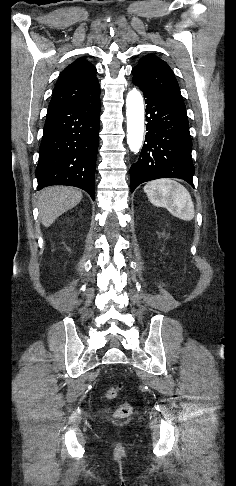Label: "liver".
Masks as SVG:
<instances>
[{
	"instance_id": "6515ba94",
	"label": "liver",
	"mask_w": 236,
	"mask_h": 486,
	"mask_svg": "<svg viewBox=\"0 0 236 486\" xmlns=\"http://www.w3.org/2000/svg\"><path fill=\"white\" fill-rule=\"evenodd\" d=\"M82 197V193L72 187L53 186L42 190L38 196L42 225H52L60 215L80 203Z\"/></svg>"
}]
</instances>
